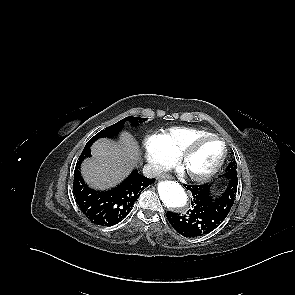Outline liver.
<instances>
[{"instance_id": "6515ba94", "label": "liver", "mask_w": 295, "mask_h": 295, "mask_svg": "<svg viewBox=\"0 0 295 295\" xmlns=\"http://www.w3.org/2000/svg\"><path fill=\"white\" fill-rule=\"evenodd\" d=\"M93 158L81 166L85 181L93 188L105 189L123 180L139 160V147L128 132L121 134L117 144L107 138L97 140L91 147Z\"/></svg>"}]
</instances>
